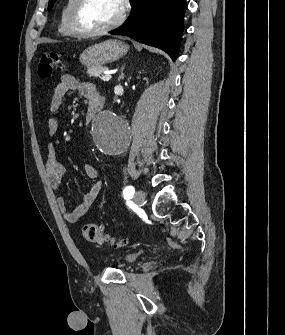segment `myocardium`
<instances>
[{
	"instance_id": "f54148a6",
	"label": "myocardium",
	"mask_w": 285,
	"mask_h": 335,
	"mask_svg": "<svg viewBox=\"0 0 285 335\" xmlns=\"http://www.w3.org/2000/svg\"><path fill=\"white\" fill-rule=\"evenodd\" d=\"M89 1H75L70 14V24L73 32L81 37H96L106 34L120 25L125 17V8L128 1H117V14L115 18L101 29H89L83 25L81 15Z\"/></svg>"
}]
</instances>
